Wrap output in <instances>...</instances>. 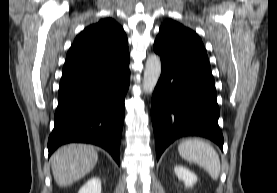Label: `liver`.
<instances>
[{"instance_id": "obj_1", "label": "liver", "mask_w": 277, "mask_h": 193, "mask_svg": "<svg viewBox=\"0 0 277 193\" xmlns=\"http://www.w3.org/2000/svg\"><path fill=\"white\" fill-rule=\"evenodd\" d=\"M98 154L93 146L69 144L59 148L51 157V168L58 186H68L86 174L96 165Z\"/></svg>"}]
</instances>
